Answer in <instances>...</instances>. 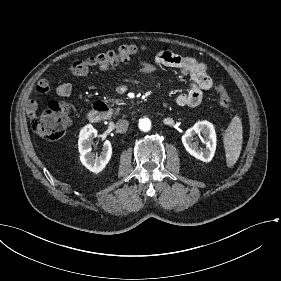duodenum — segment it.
I'll return each mask as SVG.
<instances>
[{
  "instance_id": "duodenum-1",
  "label": "duodenum",
  "mask_w": 281,
  "mask_h": 281,
  "mask_svg": "<svg viewBox=\"0 0 281 281\" xmlns=\"http://www.w3.org/2000/svg\"><path fill=\"white\" fill-rule=\"evenodd\" d=\"M109 112V106L105 102L96 101L93 103L92 109L87 115V119L91 123H99Z\"/></svg>"
}]
</instances>
